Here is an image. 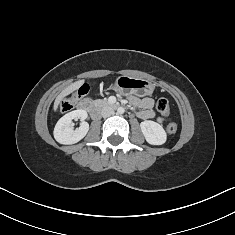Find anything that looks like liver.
<instances>
[{"mask_svg": "<svg viewBox=\"0 0 235 235\" xmlns=\"http://www.w3.org/2000/svg\"><path fill=\"white\" fill-rule=\"evenodd\" d=\"M84 83V80H79L76 81L74 83H72L71 85H69L68 87H66L55 99L54 102V106L53 109L54 111H57L58 106L60 104V102L69 94H71L72 92H74L75 90H77L82 84Z\"/></svg>", "mask_w": 235, "mask_h": 235, "instance_id": "obj_1", "label": "liver"}]
</instances>
